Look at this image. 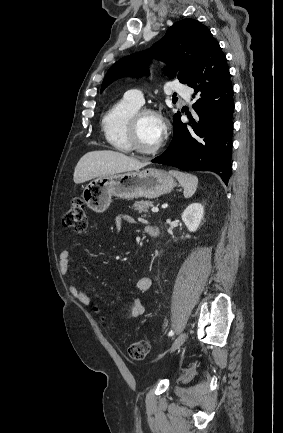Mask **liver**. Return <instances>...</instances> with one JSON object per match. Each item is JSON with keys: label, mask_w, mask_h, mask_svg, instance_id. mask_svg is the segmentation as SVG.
<instances>
[{"label": "liver", "mask_w": 283, "mask_h": 433, "mask_svg": "<svg viewBox=\"0 0 283 433\" xmlns=\"http://www.w3.org/2000/svg\"><path fill=\"white\" fill-rule=\"evenodd\" d=\"M146 164L148 162H140L138 158L126 156V154L115 152V150H92V152H86L78 160L73 180L78 184V182H86V180H91L96 176L127 172V170H139Z\"/></svg>", "instance_id": "1"}]
</instances>
